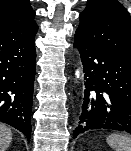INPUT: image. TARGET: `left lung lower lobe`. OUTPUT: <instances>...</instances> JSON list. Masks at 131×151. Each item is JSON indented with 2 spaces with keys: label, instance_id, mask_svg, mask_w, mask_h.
Masks as SVG:
<instances>
[{
  "label": "left lung lower lobe",
  "instance_id": "left-lung-lower-lobe-1",
  "mask_svg": "<svg viewBox=\"0 0 131 151\" xmlns=\"http://www.w3.org/2000/svg\"><path fill=\"white\" fill-rule=\"evenodd\" d=\"M84 67L85 91L73 138L91 130L131 133V59L75 34Z\"/></svg>",
  "mask_w": 131,
  "mask_h": 151
}]
</instances>
